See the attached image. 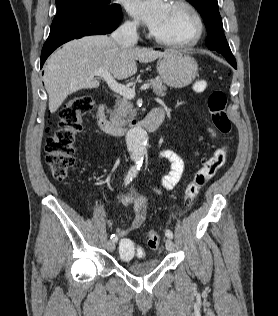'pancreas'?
Segmentation results:
<instances>
[{
    "mask_svg": "<svg viewBox=\"0 0 278 316\" xmlns=\"http://www.w3.org/2000/svg\"><path fill=\"white\" fill-rule=\"evenodd\" d=\"M148 82L157 96L166 95L167 87L163 85L160 78L151 79ZM135 113L133 104L127 98H123L116 101L114 110L110 112V120L117 127L125 126L135 116Z\"/></svg>",
    "mask_w": 278,
    "mask_h": 316,
    "instance_id": "1",
    "label": "pancreas"
}]
</instances>
